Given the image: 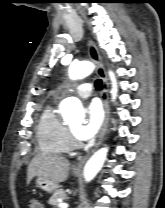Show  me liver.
I'll list each match as a JSON object with an SVG mask.
<instances>
[{"label":"liver","instance_id":"liver-1","mask_svg":"<svg viewBox=\"0 0 165 208\" xmlns=\"http://www.w3.org/2000/svg\"><path fill=\"white\" fill-rule=\"evenodd\" d=\"M70 163L64 157L58 155L37 154L30 162L27 172V183L33 177L42 176L55 183H62L67 180Z\"/></svg>","mask_w":165,"mask_h":208}]
</instances>
